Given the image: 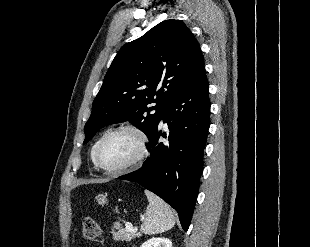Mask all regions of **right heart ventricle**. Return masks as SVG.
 <instances>
[{
  "label": "right heart ventricle",
  "mask_w": 310,
  "mask_h": 247,
  "mask_svg": "<svg viewBox=\"0 0 310 247\" xmlns=\"http://www.w3.org/2000/svg\"><path fill=\"white\" fill-rule=\"evenodd\" d=\"M101 138H102V137H100V138L94 143V145H93L92 148H91V159H92V161H93L94 150H95V148H96V146H97V144H98V142L100 141ZM93 162H94V161H93Z\"/></svg>",
  "instance_id": "e07e8e85"
}]
</instances>
